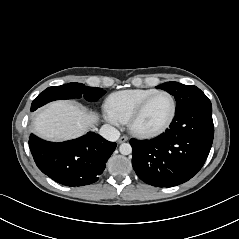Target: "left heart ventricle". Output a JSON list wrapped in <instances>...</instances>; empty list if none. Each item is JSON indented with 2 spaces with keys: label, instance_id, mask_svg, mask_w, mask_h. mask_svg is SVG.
<instances>
[{
  "label": "left heart ventricle",
  "instance_id": "left-heart-ventricle-1",
  "mask_svg": "<svg viewBox=\"0 0 239 239\" xmlns=\"http://www.w3.org/2000/svg\"><path fill=\"white\" fill-rule=\"evenodd\" d=\"M172 112V101L167 95H158L153 98L137 121L143 129H154L164 124Z\"/></svg>",
  "mask_w": 239,
  "mask_h": 239
}]
</instances>
